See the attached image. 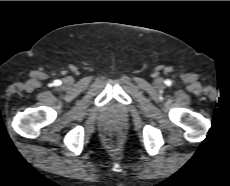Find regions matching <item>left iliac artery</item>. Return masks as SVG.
<instances>
[{"mask_svg":"<svg viewBox=\"0 0 230 186\" xmlns=\"http://www.w3.org/2000/svg\"><path fill=\"white\" fill-rule=\"evenodd\" d=\"M165 83H166L168 86H170L172 82H171L170 80H167Z\"/></svg>","mask_w":230,"mask_h":186,"instance_id":"left-iliac-artery-1","label":"left iliac artery"}]
</instances>
